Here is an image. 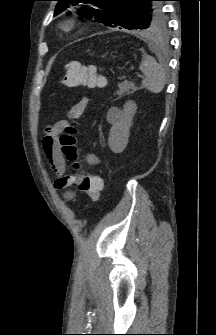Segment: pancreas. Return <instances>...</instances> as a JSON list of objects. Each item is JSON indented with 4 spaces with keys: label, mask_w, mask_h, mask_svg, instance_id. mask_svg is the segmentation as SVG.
Listing matches in <instances>:
<instances>
[{
    "label": "pancreas",
    "mask_w": 216,
    "mask_h": 335,
    "mask_svg": "<svg viewBox=\"0 0 216 335\" xmlns=\"http://www.w3.org/2000/svg\"><path fill=\"white\" fill-rule=\"evenodd\" d=\"M117 95L121 98L124 95L131 94L138 90V87L135 86L133 82L124 81L118 84ZM131 90V91H130Z\"/></svg>",
    "instance_id": "pancreas-1"
}]
</instances>
